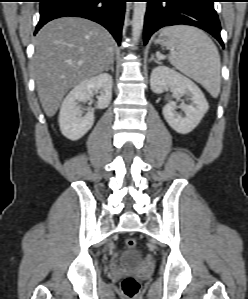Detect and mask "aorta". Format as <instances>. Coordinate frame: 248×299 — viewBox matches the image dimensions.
<instances>
[{"instance_id":"1","label":"aorta","mask_w":248,"mask_h":299,"mask_svg":"<svg viewBox=\"0 0 248 299\" xmlns=\"http://www.w3.org/2000/svg\"><path fill=\"white\" fill-rule=\"evenodd\" d=\"M146 8V2H134L132 17V39L135 43L138 42L141 36Z\"/></svg>"}]
</instances>
